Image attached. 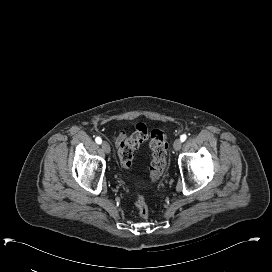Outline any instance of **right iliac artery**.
<instances>
[{"instance_id":"obj_1","label":"right iliac artery","mask_w":272,"mask_h":272,"mask_svg":"<svg viewBox=\"0 0 272 272\" xmlns=\"http://www.w3.org/2000/svg\"><path fill=\"white\" fill-rule=\"evenodd\" d=\"M95 141H96L97 144H101L102 139L100 137H96Z\"/></svg>"}]
</instances>
